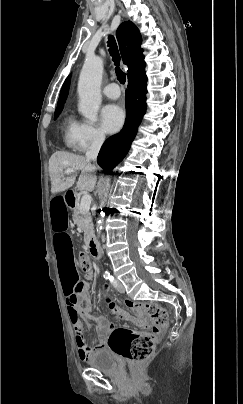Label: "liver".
<instances>
[{"mask_svg": "<svg viewBox=\"0 0 243 404\" xmlns=\"http://www.w3.org/2000/svg\"><path fill=\"white\" fill-rule=\"evenodd\" d=\"M63 170H82L81 176L77 182L78 190L81 192H93L96 184V176H92L91 172L95 170L90 164V160H86L84 156H76L69 152H55L49 160V176L51 182L52 194L57 192H65L68 188H72L76 178L75 176H67L63 178ZM63 178V180H61Z\"/></svg>", "mask_w": 243, "mask_h": 404, "instance_id": "liver-1", "label": "liver"}]
</instances>
